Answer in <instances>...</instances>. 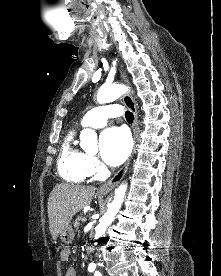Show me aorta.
<instances>
[{
    "label": "aorta",
    "mask_w": 221,
    "mask_h": 276,
    "mask_svg": "<svg viewBox=\"0 0 221 276\" xmlns=\"http://www.w3.org/2000/svg\"><path fill=\"white\" fill-rule=\"evenodd\" d=\"M127 88L124 85L113 84L110 86H102L97 93V101L100 104L109 103L116 100L118 97L126 92ZM81 146L88 148L89 146L97 143V135L94 130L84 129L80 134ZM127 190V184H121L115 189L114 199L108 204V210L101 217L99 224L95 228V239H98L106 228L114 221L116 214L121 208L125 193Z\"/></svg>",
    "instance_id": "1"
}]
</instances>
